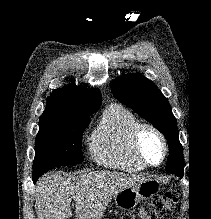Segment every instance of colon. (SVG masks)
Segmentation results:
<instances>
[{"label": "colon", "instance_id": "obj_1", "mask_svg": "<svg viewBox=\"0 0 211 219\" xmlns=\"http://www.w3.org/2000/svg\"><path fill=\"white\" fill-rule=\"evenodd\" d=\"M178 196L175 191H168L144 202L131 214L121 219H162L174 209Z\"/></svg>", "mask_w": 211, "mask_h": 219}]
</instances>
